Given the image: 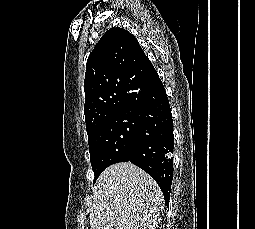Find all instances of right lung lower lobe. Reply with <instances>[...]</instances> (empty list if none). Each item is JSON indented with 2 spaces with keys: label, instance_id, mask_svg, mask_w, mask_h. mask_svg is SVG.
<instances>
[{
  "label": "right lung lower lobe",
  "instance_id": "obj_1",
  "mask_svg": "<svg viewBox=\"0 0 255 229\" xmlns=\"http://www.w3.org/2000/svg\"><path fill=\"white\" fill-rule=\"evenodd\" d=\"M125 109L139 119L128 161L139 166L158 183L168 206L173 180V120L165 88L157 73Z\"/></svg>",
  "mask_w": 255,
  "mask_h": 229
}]
</instances>
